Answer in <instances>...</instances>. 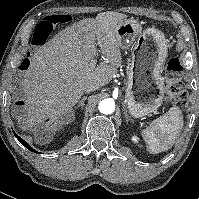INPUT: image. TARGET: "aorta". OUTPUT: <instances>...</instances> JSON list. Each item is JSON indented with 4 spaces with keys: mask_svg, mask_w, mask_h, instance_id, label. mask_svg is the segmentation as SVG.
Returning a JSON list of instances; mask_svg holds the SVG:
<instances>
[{
    "mask_svg": "<svg viewBox=\"0 0 199 199\" xmlns=\"http://www.w3.org/2000/svg\"><path fill=\"white\" fill-rule=\"evenodd\" d=\"M98 108L102 114L108 115V114H111L114 112L115 104L110 99H104V100L100 101Z\"/></svg>",
    "mask_w": 199,
    "mask_h": 199,
    "instance_id": "762f6f07",
    "label": "aorta"
}]
</instances>
